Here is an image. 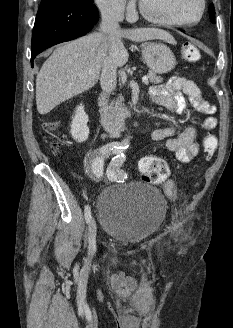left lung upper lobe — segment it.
Wrapping results in <instances>:
<instances>
[{
    "label": "left lung upper lobe",
    "instance_id": "1",
    "mask_svg": "<svg viewBox=\"0 0 233 328\" xmlns=\"http://www.w3.org/2000/svg\"><path fill=\"white\" fill-rule=\"evenodd\" d=\"M209 12H210L209 15H210L211 22L215 24V21H214L215 9L212 4L209 7Z\"/></svg>",
    "mask_w": 233,
    "mask_h": 328
}]
</instances>
